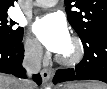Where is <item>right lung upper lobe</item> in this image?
Masks as SVG:
<instances>
[{
	"instance_id": "1",
	"label": "right lung upper lobe",
	"mask_w": 107,
	"mask_h": 89,
	"mask_svg": "<svg viewBox=\"0 0 107 89\" xmlns=\"http://www.w3.org/2000/svg\"><path fill=\"white\" fill-rule=\"evenodd\" d=\"M14 4V0H0V14H7V10Z\"/></svg>"
}]
</instances>
